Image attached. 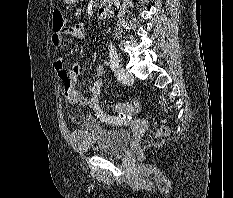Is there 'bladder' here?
Segmentation results:
<instances>
[{"label": "bladder", "mask_w": 233, "mask_h": 198, "mask_svg": "<svg viewBox=\"0 0 233 198\" xmlns=\"http://www.w3.org/2000/svg\"><path fill=\"white\" fill-rule=\"evenodd\" d=\"M73 143L84 152L99 155H121L131 141V132L125 128H106L87 121L72 133Z\"/></svg>", "instance_id": "bladder-1"}]
</instances>
